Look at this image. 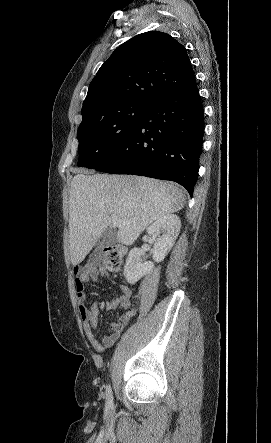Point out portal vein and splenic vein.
I'll list each match as a JSON object with an SVG mask.
<instances>
[{
  "label": "portal vein and splenic vein",
  "mask_w": 271,
  "mask_h": 443,
  "mask_svg": "<svg viewBox=\"0 0 271 443\" xmlns=\"http://www.w3.org/2000/svg\"><path fill=\"white\" fill-rule=\"evenodd\" d=\"M110 218H111L112 225H117V223H119V220H118L117 216H115V214H111Z\"/></svg>",
  "instance_id": "portal-vein-and-splenic-vein-1"
}]
</instances>
